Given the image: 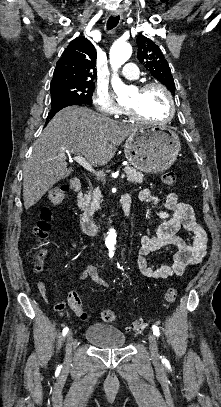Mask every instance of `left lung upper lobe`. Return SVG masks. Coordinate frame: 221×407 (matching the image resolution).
I'll return each instance as SVG.
<instances>
[{
	"instance_id": "obj_1",
	"label": "left lung upper lobe",
	"mask_w": 221,
	"mask_h": 407,
	"mask_svg": "<svg viewBox=\"0 0 221 407\" xmlns=\"http://www.w3.org/2000/svg\"><path fill=\"white\" fill-rule=\"evenodd\" d=\"M138 59L157 80L164 84L173 94L175 83L170 67L158 45L143 35L137 37Z\"/></svg>"
}]
</instances>
